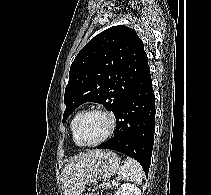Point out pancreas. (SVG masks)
<instances>
[{"mask_svg":"<svg viewBox=\"0 0 211 195\" xmlns=\"http://www.w3.org/2000/svg\"><path fill=\"white\" fill-rule=\"evenodd\" d=\"M101 188H102V189H109V188H112V185H111L109 182L103 183V184L101 185Z\"/></svg>","mask_w":211,"mask_h":195,"instance_id":"cf45deb5","label":"pancreas"}]
</instances>
